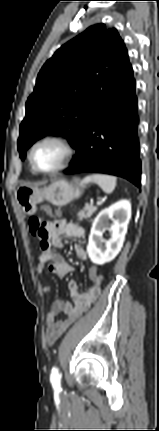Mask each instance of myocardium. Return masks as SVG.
I'll use <instances>...</instances> for the list:
<instances>
[{"mask_svg": "<svg viewBox=\"0 0 159 431\" xmlns=\"http://www.w3.org/2000/svg\"><path fill=\"white\" fill-rule=\"evenodd\" d=\"M48 142H52V143H56V144L60 145L64 150V157H63V160L61 161V163L57 167H55L52 170L43 171V170H40L39 168H37L36 165L34 164L33 153H34V150L39 145L44 144V143H48ZM74 154H75V148L67 137L60 135V134H49V135L41 137L40 139H38L37 141H35L32 144V146L29 150V153H28V160H29L31 168L36 173L43 174V175H52V174L58 173V172L62 171L63 169H65L69 165L71 160L73 159Z\"/></svg>", "mask_w": 159, "mask_h": 431, "instance_id": "myocardium-1", "label": "myocardium"}]
</instances>
